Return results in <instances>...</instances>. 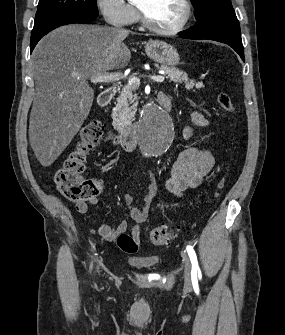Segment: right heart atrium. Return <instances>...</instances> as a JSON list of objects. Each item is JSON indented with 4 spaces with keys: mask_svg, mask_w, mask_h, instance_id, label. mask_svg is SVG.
Listing matches in <instances>:
<instances>
[{
    "mask_svg": "<svg viewBox=\"0 0 285 335\" xmlns=\"http://www.w3.org/2000/svg\"><path fill=\"white\" fill-rule=\"evenodd\" d=\"M100 6L105 21L111 26H129L138 19L133 1H101Z\"/></svg>",
    "mask_w": 285,
    "mask_h": 335,
    "instance_id": "1",
    "label": "right heart atrium"
}]
</instances>
